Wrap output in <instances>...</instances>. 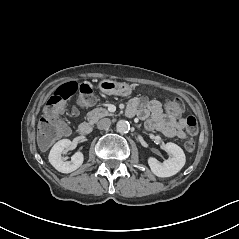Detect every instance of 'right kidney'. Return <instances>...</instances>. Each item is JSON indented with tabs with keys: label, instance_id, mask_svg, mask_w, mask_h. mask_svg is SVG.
Masks as SVG:
<instances>
[{
	"label": "right kidney",
	"instance_id": "1",
	"mask_svg": "<svg viewBox=\"0 0 239 239\" xmlns=\"http://www.w3.org/2000/svg\"><path fill=\"white\" fill-rule=\"evenodd\" d=\"M76 145L69 139H62L54 144L49 153V162L51 165L61 173H71L78 169L84 160L81 152H76L72 157L71 161H65L62 157L64 150H72Z\"/></svg>",
	"mask_w": 239,
	"mask_h": 239
}]
</instances>
